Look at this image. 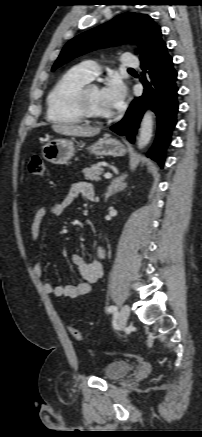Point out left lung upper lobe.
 <instances>
[{
    "label": "left lung upper lobe",
    "mask_w": 202,
    "mask_h": 437,
    "mask_svg": "<svg viewBox=\"0 0 202 437\" xmlns=\"http://www.w3.org/2000/svg\"><path fill=\"white\" fill-rule=\"evenodd\" d=\"M128 42L140 45L141 61L150 58L165 43L160 27L150 16L129 12L71 39L62 49L52 70L98 47Z\"/></svg>",
    "instance_id": "1"
}]
</instances>
